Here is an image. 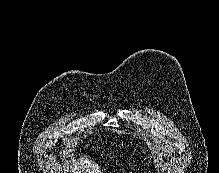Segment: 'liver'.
<instances>
[{"mask_svg":"<svg viewBox=\"0 0 219 173\" xmlns=\"http://www.w3.org/2000/svg\"><path fill=\"white\" fill-rule=\"evenodd\" d=\"M70 162L72 163L71 170L73 173H101L98 164L92 163L85 156H80L78 160L73 158Z\"/></svg>","mask_w":219,"mask_h":173,"instance_id":"6515ba94","label":"liver"}]
</instances>
